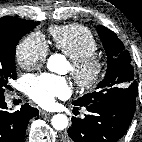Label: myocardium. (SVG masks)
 <instances>
[{
	"label": "myocardium",
	"instance_id": "f54148a6",
	"mask_svg": "<svg viewBox=\"0 0 142 142\" xmlns=\"http://www.w3.org/2000/svg\"><path fill=\"white\" fill-rule=\"evenodd\" d=\"M70 67L76 84L88 89L96 86L102 80L106 70L105 61L96 53L71 59Z\"/></svg>",
	"mask_w": 142,
	"mask_h": 142
}]
</instances>
